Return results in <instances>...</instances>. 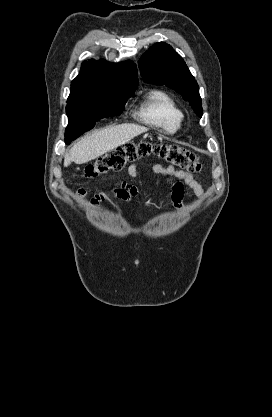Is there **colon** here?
Returning <instances> with one entry per match:
<instances>
[{"label": "colon", "instance_id": "obj_1", "mask_svg": "<svg viewBox=\"0 0 272 417\" xmlns=\"http://www.w3.org/2000/svg\"><path fill=\"white\" fill-rule=\"evenodd\" d=\"M155 154L172 165L190 173L199 172L202 164L194 153L170 143L145 141L128 143L115 148L86 166L84 176L95 178L111 171L121 170L128 162Z\"/></svg>", "mask_w": 272, "mask_h": 417}]
</instances>
